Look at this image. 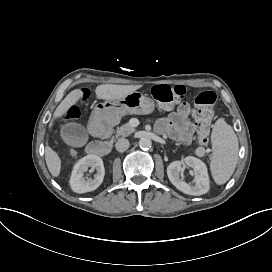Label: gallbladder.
<instances>
[{"mask_svg": "<svg viewBox=\"0 0 272 272\" xmlns=\"http://www.w3.org/2000/svg\"><path fill=\"white\" fill-rule=\"evenodd\" d=\"M60 135L64 142L71 147L84 146L88 141L87 130L80 123L70 122L63 125Z\"/></svg>", "mask_w": 272, "mask_h": 272, "instance_id": "1", "label": "gallbladder"}]
</instances>
